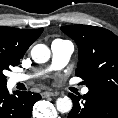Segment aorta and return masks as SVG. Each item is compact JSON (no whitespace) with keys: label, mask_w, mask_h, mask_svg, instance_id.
Instances as JSON below:
<instances>
[{"label":"aorta","mask_w":118,"mask_h":118,"mask_svg":"<svg viewBox=\"0 0 118 118\" xmlns=\"http://www.w3.org/2000/svg\"><path fill=\"white\" fill-rule=\"evenodd\" d=\"M50 49L44 44H37L31 50V57L34 62L43 64L50 59ZM72 100L69 97L58 98L56 108L60 113H68L72 109Z\"/></svg>","instance_id":"aorta-1"}]
</instances>
